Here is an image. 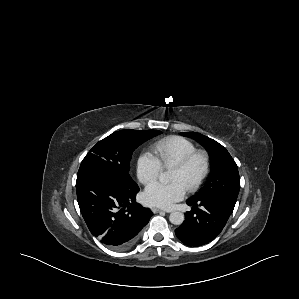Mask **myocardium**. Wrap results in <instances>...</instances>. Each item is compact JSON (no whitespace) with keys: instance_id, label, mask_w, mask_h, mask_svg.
<instances>
[{"instance_id":"myocardium-1","label":"myocardium","mask_w":299,"mask_h":299,"mask_svg":"<svg viewBox=\"0 0 299 299\" xmlns=\"http://www.w3.org/2000/svg\"><path fill=\"white\" fill-rule=\"evenodd\" d=\"M197 158H201L203 161V169L199 177L193 182L191 185H189L186 189L190 192L196 191L201 187V185L204 183V181L207 179L210 170H211V159L210 155L205 150H195L185 156L182 160H180L178 163H176L174 166H172V169L178 170V171H185L188 169V167L195 161Z\"/></svg>"}]
</instances>
